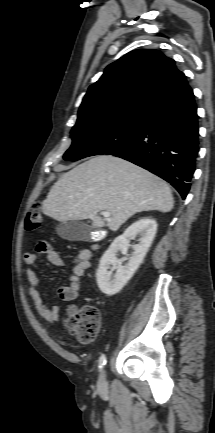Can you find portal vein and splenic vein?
I'll list each match as a JSON object with an SVG mask.
<instances>
[{
  "label": "portal vein and splenic vein",
  "instance_id": "18ae733b",
  "mask_svg": "<svg viewBox=\"0 0 215 433\" xmlns=\"http://www.w3.org/2000/svg\"><path fill=\"white\" fill-rule=\"evenodd\" d=\"M102 215L104 216V218L108 219L110 217V213L107 211L102 212Z\"/></svg>",
  "mask_w": 215,
  "mask_h": 433
}]
</instances>
